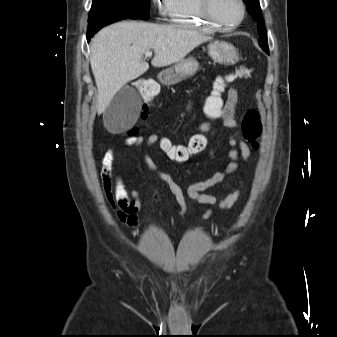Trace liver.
Masks as SVG:
<instances>
[{"mask_svg":"<svg viewBox=\"0 0 337 337\" xmlns=\"http://www.w3.org/2000/svg\"><path fill=\"white\" fill-rule=\"evenodd\" d=\"M197 31L174 25L123 21L100 30L92 40L90 64L98 89L97 113L105 112L115 94L149 69L143 54L153 50L154 67L181 61L210 40Z\"/></svg>","mask_w":337,"mask_h":337,"instance_id":"6515ba94","label":"liver"}]
</instances>
